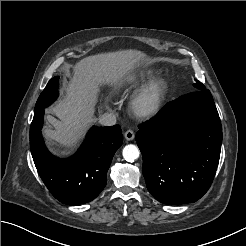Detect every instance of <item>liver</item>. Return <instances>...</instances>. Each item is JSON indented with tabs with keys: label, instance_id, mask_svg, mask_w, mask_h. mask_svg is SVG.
<instances>
[{
	"label": "liver",
	"instance_id": "liver-1",
	"mask_svg": "<svg viewBox=\"0 0 246 246\" xmlns=\"http://www.w3.org/2000/svg\"><path fill=\"white\" fill-rule=\"evenodd\" d=\"M148 60L138 50L129 49L88 56L74 66L66 95L52 108L58 118L47 115L51 128L43 133L65 150L73 149L94 121V105L100 83H119L130 78L136 65Z\"/></svg>",
	"mask_w": 246,
	"mask_h": 246
}]
</instances>
